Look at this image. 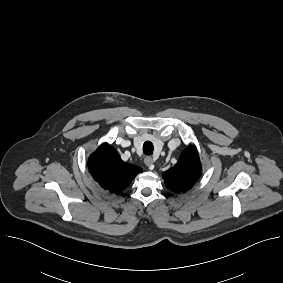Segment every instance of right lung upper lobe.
I'll use <instances>...</instances> for the list:
<instances>
[{"instance_id":"obj_1","label":"right lung upper lobe","mask_w":283,"mask_h":283,"mask_svg":"<svg viewBox=\"0 0 283 283\" xmlns=\"http://www.w3.org/2000/svg\"><path fill=\"white\" fill-rule=\"evenodd\" d=\"M93 178L111 193H120L142 172L138 166L125 163L109 144H102L88 160Z\"/></svg>"}]
</instances>
